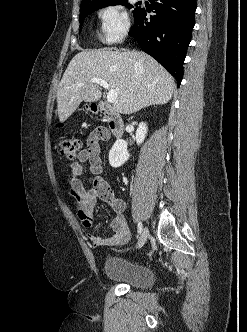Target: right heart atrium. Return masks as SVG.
<instances>
[{"label": "right heart atrium", "instance_id": "1", "mask_svg": "<svg viewBox=\"0 0 247 332\" xmlns=\"http://www.w3.org/2000/svg\"><path fill=\"white\" fill-rule=\"evenodd\" d=\"M101 39L107 44L121 42L130 28L126 9L118 3H110L98 12Z\"/></svg>", "mask_w": 247, "mask_h": 332}]
</instances>
